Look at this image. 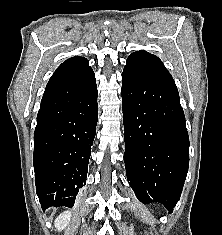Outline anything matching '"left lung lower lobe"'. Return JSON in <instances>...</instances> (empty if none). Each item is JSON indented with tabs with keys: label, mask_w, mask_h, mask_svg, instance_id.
Instances as JSON below:
<instances>
[{
	"label": "left lung lower lobe",
	"mask_w": 222,
	"mask_h": 235,
	"mask_svg": "<svg viewBox=\"0 0 222 235\" xmlns=\"http://www.w3.org/2000/svg\"><path fill=\"white\" fill-rule=\"evenodd\" d=\"M121 91L127 180L140 202H159L172 212L189 165V137L176 84L167 70L128 58Z\"/></svg>",
	"instance_id": "left-lung-lower-lobe-1"
}]
</instances>
